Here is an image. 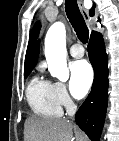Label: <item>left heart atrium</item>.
<instances>
[{"label":"left heart atrium","instance_id":"1","mask_svg":"<svg viewBox=\"0 0 119 141\" xmlns=\"http://www.w3.org/2000/svg\"><path fill=\"white\" fill-rule=\"evenodd\" d=\"M70 91L76 98H82L89 91L93 81V71L87 61L73 62L70 66Z\"/></svg>","mask_w":119,"mask_h":141}]
</instances>
